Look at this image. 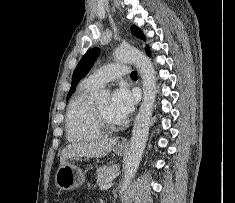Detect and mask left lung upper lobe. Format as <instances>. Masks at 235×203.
<instances>
[{"label": "left lung upper lobe", "mask_w": 235, "mask_h": 203, "mask_svg": "<svg viewBox=\"0 0 235 203\" xmlns=\"http://www.w3.org/2000/svg\"><path fill=\"white\" fill-rule=\"evenodd\" d=\"M131 30H132L133 34L135 36H137L138 38L145 39L141 29L138 28L137 26L133 25L131 27ZM147 49H149V48L146 47V50ZM99 52H100V49L98 47H96V48L89 50L81 58L77 67L74 70L73 77H72V84H71L70 91L67 95V98H69L72 95V92L75 90V87H76L77 83L79 82V80L82 79L89 72L93 63L95 62V60L99 56Z\"/></svg>", "instance_id": "5c2ea615"}]
</instances>
